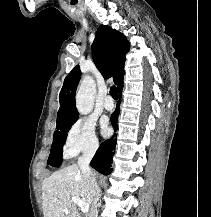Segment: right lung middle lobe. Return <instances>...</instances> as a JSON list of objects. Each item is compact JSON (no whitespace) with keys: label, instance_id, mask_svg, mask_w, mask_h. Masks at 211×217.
I'll use <instances>...</instances> for the list:
<instances>
[{"label":"right lung middle lobe","instance_id":"dd1d6c3e","mask_svg":"<svg viewBox=\"0 0 211 217\" xmlns=\"http://www.w3.org/2000/svg\"><path fill=\"white\" fill-rule=\"evenodd\" d=\"M76 120L66 123L60 127H56L57 131L54 132V140L51 146V153L48 158L47 164L51 166H59L62 161L63 144L67 137V132Z\"/></svg>","mask_w":211,"mask_h":217}]
</instances>
